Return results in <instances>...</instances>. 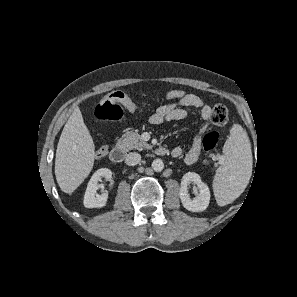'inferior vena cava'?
Returning <instances> with one entry per match:
<instances>
[{
  "mask_svg": "<svg viewBox=\"0 0 297 297\" xmlns=\"http://www.w3.org/2000/svg\"><path fill=\"white\" fill-rule=\"evenodd\" d=\"M141 161V155L136 152H131L126 156L125 162L129 166L137 165Z\"/></svg>",
  "mask_w": 297,
  "mask_h": 297,
  "instance_id": "1",
  "label": "inferior vena cava"
}]
</instances>
